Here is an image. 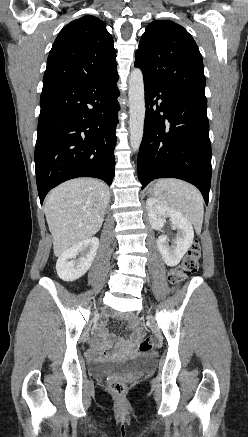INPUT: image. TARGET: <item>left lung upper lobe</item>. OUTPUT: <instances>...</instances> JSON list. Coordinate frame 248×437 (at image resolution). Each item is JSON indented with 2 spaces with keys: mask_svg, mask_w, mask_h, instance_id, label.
<instances>
[{
  "mask_svg": "<svg viewBox=\"0 0 248 437\" xmlns=\"http://www.w3.org/2000/svg\"><path fill=\"white\" fill-rule=\"evenodd\" d=\"M136 67L163 88L205 97L202 55L192 36L169 20L150 23L135 54Z\"/></svg>",
  "mask_w": 248,
  "mask_h": 437,
  "instance_id": "obj_1",
  "label": "left lung upper lobe"
}]
</instances>
